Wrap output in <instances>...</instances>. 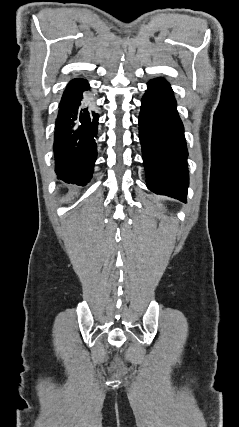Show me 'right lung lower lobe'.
Returning a JSON list of instances; mask_svg holds the SVG:
<instances>
[{"label":"right lung lower lobe","mask_w":239,"mask_h":427,"mask_svg":"<svg viewBox=\"0 0 239 427\" xmlns=\"http://www.w3.org/2000/svg\"><path fill=\"white\" fill-rule=\"evenodd\" d=\"M84 79H73L59 104L54 134L55 172L66 183L84 186L89 182L97 157L99 115Z\"/></svg>","instance_id":"1"}]
</instances>
